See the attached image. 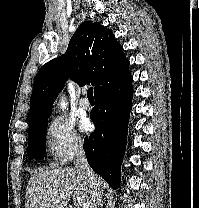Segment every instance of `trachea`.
Instances as JSON below:
<instances>
[{
  "mask_svg": "<svg viewBox=\"0 0 199 208\" xmlns=\"http://www.w3.org/2000/svg\"><path fill=\"white\" fill-rule=\"evenodd\" d=\"M87 96H88L89 99H94V97H93V88H89L87 90Z\"/></svg>",
  "mask_w": 199,
  "mask_h": 208,
  "instance_id": "obj_1",
  "label": "trachea"
}]
</instances>
